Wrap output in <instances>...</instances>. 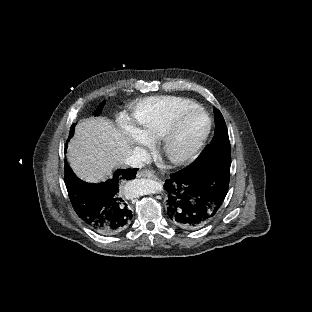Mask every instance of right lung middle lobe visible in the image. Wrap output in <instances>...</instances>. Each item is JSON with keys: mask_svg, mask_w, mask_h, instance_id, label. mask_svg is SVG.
I'll use <instances>...</instances> for the list:
<instances>
[{"mask_svg": "<svg viewBox=\"0 0 312 312\" xmlns=\"http://www.w3.org/2000/svg\"><path fill=\"white\" fill-rule=\"evenodd\" d=\"M104 105H105V101H103V102L98 106V108H97L96 111H95V116L100 115V113H101V111H102ZM75 125H76V124H73L72 127L70 128V133H69V137H68L67 142L69 141V139H70V138L73 136V134H74Z\"/></svg>", "mask_w": 312, "mask_h": 312, "instance_id": "right-lung-middle-lobe-1", "label": "right lung middle lobe"}]
</instances>
